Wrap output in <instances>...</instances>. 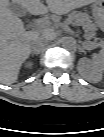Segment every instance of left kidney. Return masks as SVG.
Instances as JSON below:
<instances>
[{
	"instance_id": "obj_1",
	"label": "left kidney",
	"mask_w": 104,
	"mask_h": 137,
	"mask_svg": "<svg viewBox=\"0 0 104 137\" xmlns=\"http://www.w3.org/2000/svg\"><path fill=\"white\" fill-rule=\"evenodd\" d=\"M80 72L87 78L98 81L102 78L103 63L95 64L87 58H81L78 62Z\"/></svg>"
}]
</instances>
